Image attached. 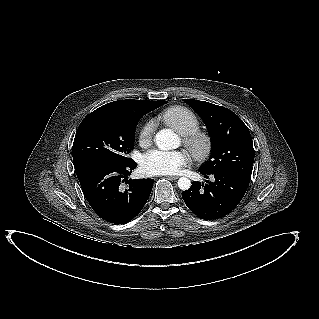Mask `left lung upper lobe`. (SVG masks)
<instances>
[{
    "mask_svg": "<svg viewBox=\"0 0 319 319\" xmlns=\"http://www.w3.org/2000/svg\"><path fill=\"white\" fill-rule=\"evenodd\" d=\"M183 101L202 118L211 137V156L199 170L207 173L231 171L250 180L254 149L244 122L225 107L193 99Z\"/></svg>",
    "mask_w": 319,
    "mask_h": 319,
    "instance_id": "5c2ea615",
    "label": "left lung upper lobe"
}]
</instances>
